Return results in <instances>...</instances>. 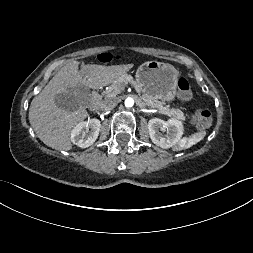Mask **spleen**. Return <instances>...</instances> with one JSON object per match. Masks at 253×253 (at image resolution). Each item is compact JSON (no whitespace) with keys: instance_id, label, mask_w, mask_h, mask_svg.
I'll return each instance as SVG.
<instances>
[{"instance_id":"obj_1","label":"spleen","mask_w":253,"mask_h":253,"mask_svg":"<svg viewBox=\"0 0 253 253\" xmlns=\"http://www.w3.org/2000/svg\"><path fill=\"white\" fill-rule=\"evenodd\" d=\"M206 135L205 131L197 132L189 136L188 138H183L180 140L175 150H182L192 147L193 145L200 142Z\"/></svg>"}]
</instances>
